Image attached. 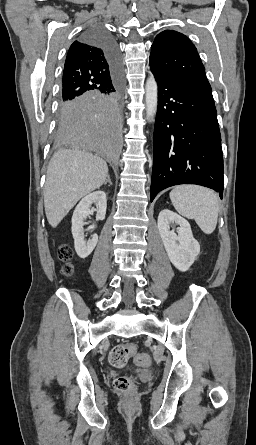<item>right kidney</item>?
<instances>
[{
  "mask_svg": "<svg viewBox=\"0 0 256 445\" xmlns=\"http://www.w3.org/2000/svg\"><path fill=\"white\" fill-rule=\"evenodd\" d=\"M92 204L96 208L90 209ZM107 198L104 191H95L86 195L76 206L72 216V235L74 238V247L77 255L84 259L88 257L98 242V236L92 235L88 241L84 240V219L95 211L97 220H104L106 215Z\"/></svg>",
  "mask_w": 256,
  "mask_h": 445,
  "instance_id": "1",
  "label": "right kidney"
}]
</instances>
